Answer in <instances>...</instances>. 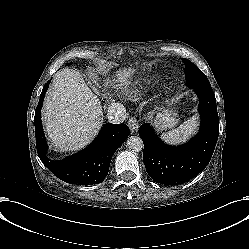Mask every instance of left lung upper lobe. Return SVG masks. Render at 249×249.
I'll use <instances>...</instances> for the list:
<instances>
[{"mask_svg":"<svg viewBox=\"0 0 249 249\" xmlns=\"http://www.w3.org/2000/svg\"><path fill=\"white\" fill-rule=\"evenodd\" d=\"M185 64V76H186V83L188 86H195V85H204L207 87H211L206 75L191 61L188 59H182Z\"/></svg>","mask_w":249,"mask_h":249,"instance_id":"5c2ea615","label":"left lung upper lobe"}]
</instances>
